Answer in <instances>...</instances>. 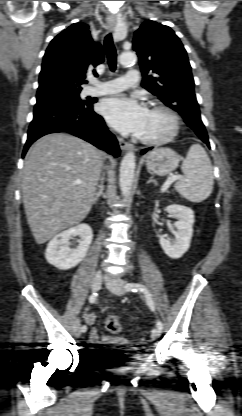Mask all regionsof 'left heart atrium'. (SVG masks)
<instances>
[{
  "label": "left heart atrium",
  "instance_id": "obj_1",
  "mask_svg": "<svg viewBox=\"0 0 242 416\" xmlns=\"http://www.w3.org/2000/svg\"><path fill=\"white\" fill-rule=\"evenodd\" d=\"M100 111L110 125L120 133L138 136L148 109L135 97L117 95L105 99Z\"/></svg>",
  "mask_w": 242,
  "mask_h": 416
}]
</instances>
